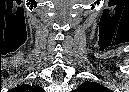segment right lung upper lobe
I'll return each mask as SVG.
<instances>
[{
	"label": "right lung upper lobe",
	"instance_id": "obj_1",
	"mask_svg": "<svg viewBox=\"0 0 129 92\" xmlns=\"http://www.w3.org/2000/svg\"><path fill=\"white\" fill-rule=\"evenodd\" d=\"M20 88H23V89H25V90H33L34 92H42L43 91V89L41 88V87H39V86H35V85H32V86H30V85H23V86H21Z\"/></svg>",
	"mask_w": 129,
	"mask_h": 92
}]
</instances>
